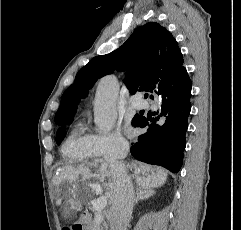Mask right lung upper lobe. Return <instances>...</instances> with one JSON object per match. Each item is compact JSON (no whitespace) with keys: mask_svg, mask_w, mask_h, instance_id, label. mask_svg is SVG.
<instances>
[{"mask_svg":"<svg viewBox=\"0 0 241 230\" xmlns=\"http://www.w3.org/2000/svg\"><path fill=\"white\" fill-rule=\"evenodd\" d=\"M183 56L175 38L163 26L149 22L136 28L117 50L94 57L81 68L75 82L63 93L55 115L57 124H69L81 97H85L98 78L117 71H125L124 82L130 94L149 91L172 71L181 67Z\"/></svg>","mask_w":241,"mask_h":230,"instance_id":"obj_1","label":"right lung upper lobe"}]
</instances>
